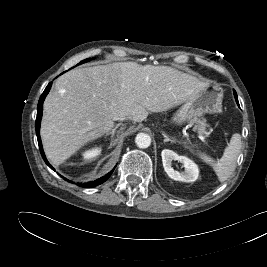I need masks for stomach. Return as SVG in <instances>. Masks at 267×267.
<instances>
[{
  "mask_svg": "<svg viewBox=\"0 0 267 267\" xmlns=\"http://www.w3.org/2000/svg\"><path fill=\"white\" fill-rule=\"evenodd\" d=\"M222 100L221 88L216 85H208L205 90L185 101L173 116L172 122L182 125L202 113H221Z\"/></svg>",
  "mask_w": 267,
  "mask_h": 267,
  "instance_id": "obj_1",
  "label": "stomach"
}]
</instances>
